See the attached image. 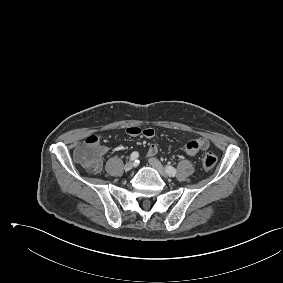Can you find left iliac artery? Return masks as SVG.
<instances>
[{"label":"left iliac artery","mask_w":283,"mask_h":283,"mask_svg":"<svg viewBox=\"0 0 283 283\" xmlns=\"http://www.w3.org/2000/svg\"><path fill=\"white\" fill-rule=\"evenodd\" d=\"M166 172L170 176H175L176 175V169L172 166H166L165 168Z\"/></svg>","instance_id":"left-iliac-artery-1"}]
</instances>
